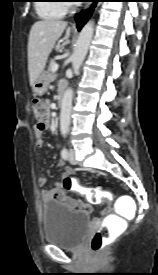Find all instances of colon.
<instances>
[{
	"mask_svg": "<svg viewBox=\"0 0 158 275\" xmlns=\"http://www.w3.org/2000/svg\"><path fill=\"white\" fill-rule=\"evenodd\" d=\"M32 108L36 119V129L45 131L48 128V103L42 99L35 98L32 101ZM65 191H74L85 195L91 202H109L111 193L97 189L83 188L77 180L71 176H66L62 181ZM116 237V232L104 226L100 228L91 238V249L95 252L101 251L108 243Z\"/></svg>",
	"mask_w": 158,
	"mask_h": 275,
	"instance_id": "colon-1",
	"label": "colon"
}]
</instances>
